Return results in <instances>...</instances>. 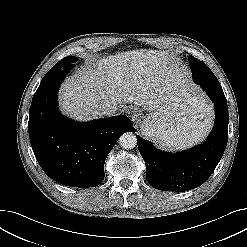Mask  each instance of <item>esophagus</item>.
Returning a JSON list of instances; mask_svg holds the SVG:
<instances>
[{
	"instance_id": "34e87169",
	"label": "esophagus",
	"mask_w": 247,
	"mask_h": 247,
	"mask_svg": "<svg viewBox=\"0 0 247 247\" xmlns=\"http://www.w3.org/2000/svg\"><path fill=\"white\" fill-rule=\"evenodd\" d=\"M127 114L129 115L130 119L133 121V122H136L140 119V110L138 107L136 106H131L127 109Z\"/></svg>"
}]
</instances>
